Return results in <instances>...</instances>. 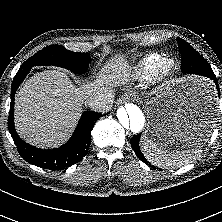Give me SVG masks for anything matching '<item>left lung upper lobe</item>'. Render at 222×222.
I'll list each match as a JSON object with an SVG mask.
<instances>
[{"instance_id":"1","label":"left lung upper lobe","mask_w":222,"mask_h":222,"mask_svg":"<svg viewBox=\"0 0 222 222\" xmlns=\"http://www.w3.org/2000/svg\"><path fill=\"white\" fill-rule=\"evenodd\" d=\"M177 42L179 44L178 46H179V50L181 53V59L190 57L193 60H197L198 66H202V68L205 69L206 71H212V69H211L210 65L207 63V61L186 41H184L181 38H177ZM181 65H182V63H181Z\"/></svg>"}]
</instances>
